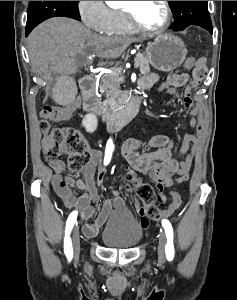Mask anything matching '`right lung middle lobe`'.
I'll return each mask as SVG.
<instances>
[{
    "mask_svg": "<svg viewBox=\"0 0 237 300\" xmlns=\"http://www.w3.org/2000/svg\"><path fill=\"white\" fill-rule=\"evenodd\" d=\"M78 1H29L26 27L34 28L44 20L64 16L80 20Z\"/></svg>",
    "mask_w": 237,
    "mask_h": 300,
    "instance_id": "right-lung-middle-lobe-1",
    "label": "right lung middle lobe"
}]
</instances>
